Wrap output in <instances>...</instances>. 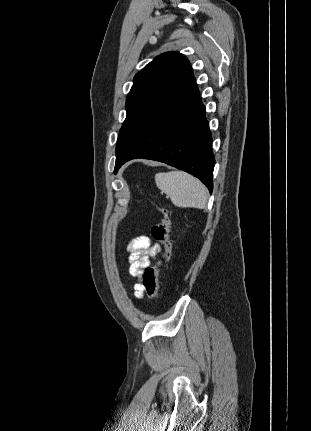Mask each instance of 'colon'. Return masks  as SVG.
<instances>
[{
	"label": "colon",
	"mask_w": 311,
	"mask_h": 431,
	"mask_svg": "<svg viewBox=\"0 0 311 431\" xmlns=\"http://www.w3.org/2000/svg\"><path fill=\"white\" fill-rule=\"evenodd\" d=\"M157 209L161 213V219L156 225L153 226L152 236L163 249L161 261L158 265L147 266L142 273L143 288L145 289L148 296L153 300H157L159 297V270L166 263L171 251V243L169 240L172 224L171 213L166 207L157 206Z\"/></svg>",
	"instance_id": "obj_1"
}]
</instances>
